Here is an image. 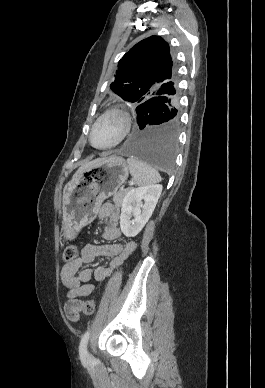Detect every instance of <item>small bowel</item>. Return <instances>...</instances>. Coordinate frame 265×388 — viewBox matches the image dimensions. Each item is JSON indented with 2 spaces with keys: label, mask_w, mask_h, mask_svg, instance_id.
<instances>
[{
  "label": "small bowel",
  "mask_w": 265,
  "mask_h": 388,
  "mask_svg": "<svg viewBox=\"0 0 265 388\" xmlns=\"http://www.w3.org/2000/svg\"><path fill=\"white\" fill-rule=\"evenodd\" d=\"M120 214L119 207L111 203L103 204L98 210V218L107 222L102 236L108 242H116L121 236L119 229ZM135 248L136 244L133 241L126 243L87 244L82 248L80 256L76 260L62 267L60 273L61 281L69 289L64 311L70 321H77L82 309V302L78 301L76 297L90 295L94 289L91 281L100 282L109 278L113 271L129 257ZM100 256L110 258V264L105 267L82 268L83 264L91 263Z\"/></svg>",
  "instance_id": "obj_1"
}]
</instances>
